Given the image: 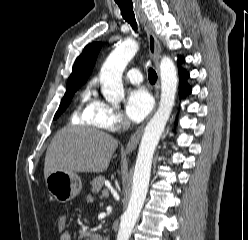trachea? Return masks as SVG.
Returning <instances> with one entry per match:
<instances>
[{
    "label": "trachea",
    "instance_id": "1",
    "mask_svg": "<svg viewBox=\"0 0 248 240\" xmlns=\"http://www.w3.org/2000/svg\"><path fill=\"white\" fill-rule=\"evenodd\" d=\"M116 3L118 4L120 10H121V15L127 21L131 27L133 28L134 31H137V22L135 19V14L133 11V4L131 1H119L116 0ZM149 81L151 83H155L157 80V74L154 69L150 68L149 69V75H148Z\"/></svg>",
    "mask_w": 248,
    "mask_h": 240
}]
</instances>
